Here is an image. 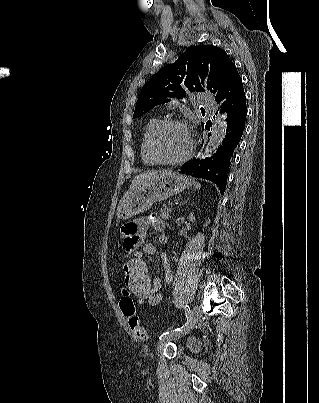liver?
Masks as SVG:
<instances>
[{"mask_svg": "<svg viewBox=\"0 0 319 403\" xmlns=\"http://www.w3.org/2000/svg\"><path fill=\"white\" fill-rule=\"evenodd\" d=\"M158 172L157 171H152V172H147V173H143V174H139L137 176H135V178L132 181V184L129 188V190L131 188H133L134 186H136L137 184H139L140 182H142L143 180L156 175Z\"/></svg>", "mask_w": 319, "mask_h": 403, "instance_id": "1", "label": "liver"}]
</instances>
